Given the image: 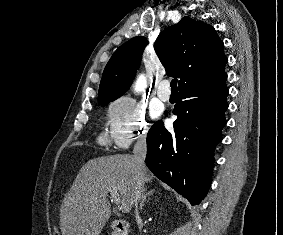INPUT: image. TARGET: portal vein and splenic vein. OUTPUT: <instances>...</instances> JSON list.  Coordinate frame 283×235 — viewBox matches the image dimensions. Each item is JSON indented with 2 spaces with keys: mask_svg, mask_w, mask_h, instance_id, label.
<instances>
[{
  "mask_svg": "<svg viewBox=\"0 0 283 235\" xmlns=\"http://www.w3.org/2000/svg\"><path fill=\"white\" fill-rule=\"evenodd\" d=\"M110 194H111V200L116 204L119 205L120 204V196L116 190V188H112L110 190Z\"/></svg>",
  "mask_w": 283,
  "mask_h": 235,
  "instance_id": "portal-vein-and-splenic-vein-1",
  "label": "portal vein and splenic vein"
}]
</instances>
